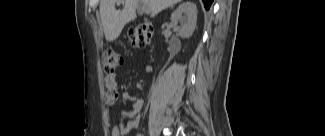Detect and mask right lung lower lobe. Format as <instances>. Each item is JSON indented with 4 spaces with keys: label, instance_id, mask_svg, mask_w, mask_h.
Wrapping results in <instances>:
<instances>
[{
    "label": "right lung lower lobe",
    "instance_id": "right-lung-lower-lobe-1",
    "mask_svg": "<svg viewBox=\"0 0 325 136\" xmlns=\"http://www.w3.org/2000/svg\"><path fill=\"white\" fill-rule=\"evenodd\" d=\"M202 1H203V3H204V7H205V9H206V10H209V8H210V6H211L213 0H202Z\"/></svg>",
    "mask_w": 325,
    "mask_h": 136
}]
</instances>
